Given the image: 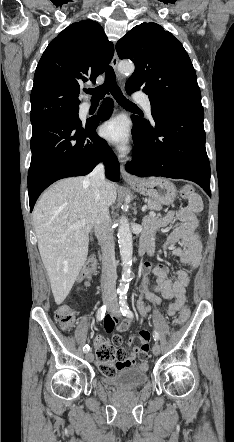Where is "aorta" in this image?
<instances>
[{
    "mask_svg": "<svg viewBox=\"0 0 234 442\" xmlns=\"http://www.w3.org/2000/svg\"><path fill=\"white\" fill-rule=\"evenodd\" d=\"M118 70L123 74H131L134 71V64L132 62H120ZM118 243L123 265L122 281L119 286V292L124 294L129 287L131 278V263L133 254V241L130 225L127 217L122 216L119 220L118 228Z\"/></svg>",
    "mask_w": 234,
    "mask_h": 442,
    "instance_id": "aorta-1",
    "label": "aorta"
}]
</instances>
